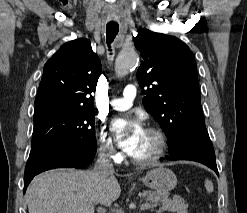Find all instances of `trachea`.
I'll use <instances>...</instances> for the list:
<instances>
[{
    "mask_svg": "<svg viewBox=\"0 0 247 213\" xmlns=\"http://www.w3.org/2000/svg\"><path fill=\"white\" fill-rule=\"evenodd\" d=\"M119 31V25L116 23H108L106 26V36H107V44L110 45L115 39L116 35Z\"/></svg>",
    "mask_w": 247,
    "mask_h": 213,
    "instance_id": "3493384b",
    "label": "trachea"
}]
</instances>
